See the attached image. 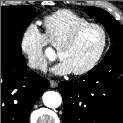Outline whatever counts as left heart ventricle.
I'll return each instance as SVG.
<instances>
[{"mask_svg": "<svg viewBox=\"0 0 123 123\" xmlns=\"http://www.w3.org/2000/svg\"><path fill=\"white\" fill-rule=\"evenodd\" d=\"M102 40L100 30L90 28L79 37L71 48L63 50L59 58L66 61L72 71L82 69L96 57L101 48Z\"/></svg>", "mask_w": 123, "mask_h": 123, "instance_id": "left-heart-ventricle-1", "label": "left heart ventricle"}]
</instances>
